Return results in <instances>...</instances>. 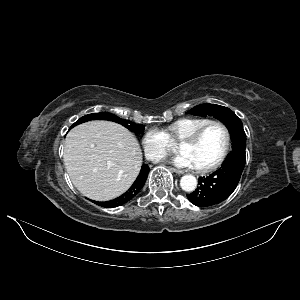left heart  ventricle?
I'll return each mask as SVG.
<instances>
[{
    "instance_id": "b2bd125f",
    "label": "left heart ventricle",
    "mask_w": 300,
    "mask_h": 300,
    "mask_svg": "<svg viewBox=\"0 0 300 300\" xmlns=\"http://www.w3.org/2000/svg\"><path fill=\"white\" fill-rule=\"evenodd\" d=\"M225 140V132L222 127L214 125L206 130L196 144H181L179 151L188 154L195 163L196 168L205 167L221 156Z\"/></svg>"
}]
</instances>
